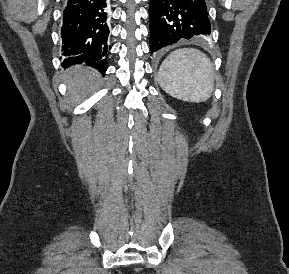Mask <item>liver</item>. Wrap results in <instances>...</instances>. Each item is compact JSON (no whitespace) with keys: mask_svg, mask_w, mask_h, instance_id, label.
Wrapping results in <instances>:
<instances>
[{"mask_svg":"<svg viewBox=\"0 0 289 274\" xmlns=\"http://www.w3.org/2000/svg\"><path fill=\"white\" fill-rule=\"evenodd\" d=\"M99 77L98 72L91 68L73 67L65 75L67 84V96L70 103L80 102L92 89L95 80Z\"/></svg>","mask_w":289,"mask_h":274,"instance_id":"liver-1","label":"liver"}]
</instances>
